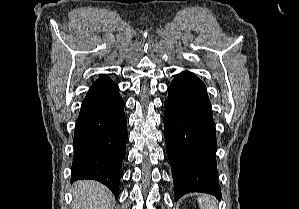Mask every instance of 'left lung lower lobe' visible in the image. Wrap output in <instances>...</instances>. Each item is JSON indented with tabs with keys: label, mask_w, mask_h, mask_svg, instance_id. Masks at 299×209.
<instances>
[{
	"label": "left lung lower lobe",
	"mask_w": 299,
	"mask_h": 209,
	"mask_svg": "<svg viewBox=\"0 0 299 209\" xmlns=\"http://www.w3.org/2000/svg\"><path fill=\"white\" fill-rule=\"evenodd\" d=\"M164 128L175 199L205 192L220 199L215 123L206 87L193 73L178 74L168 88Z\"/></svg>",
	"instance_id": "1"
}]
</instances>
